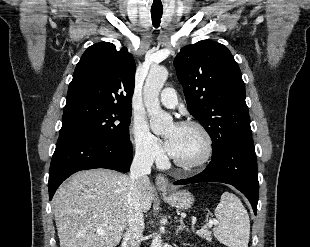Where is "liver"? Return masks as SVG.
Masks as SVG:
<instances>
[{
	"label": "liver",
	"mask_w": 310,
	"mask_h": 247,
	"mask_svg": "<svg viewBox=\"0 0 310 247\" xmlns=\"http://www.w3.org/2000/svg\"><path fill=\"white\" fill-rule=\"evenodd\" d=\"M153 191L148 179L142 189L143 212L151 208ZM128 192L124 174L106 169L74 174L52 200L60 247L117 246L127 222Z\"/></svg>",
	"instance_id": "1"
}]
</instances>
